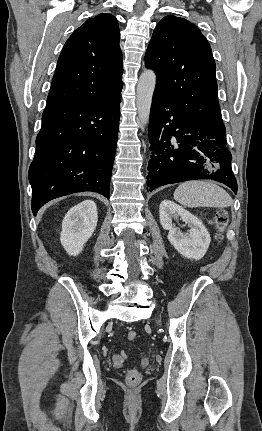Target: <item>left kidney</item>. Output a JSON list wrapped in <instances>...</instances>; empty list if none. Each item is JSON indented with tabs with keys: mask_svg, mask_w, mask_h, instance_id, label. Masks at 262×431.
Returning a JSON list of instances; mask_svg holds the SVG:
<instances>
[{
	"mask_svg": "<svg viewBox=\"0 0 262 431\" xmlns=\"http://www.w3.org/2000/svg\"><path fill=\"white\" fill-rule=\"evenodd\" d=\"M160 222L165 230H169L168 240L184 257L200 260L210 245V235L203 223L193 214L170 200H164L159 206ZM181 219L190 228L182 233L172 220Z\"/></svg>",
	"mask_w": 262,
	"mask_h": 431,
	"instance_id": "5707ae66",
	"label": "left kidney"
}]
</instances>
